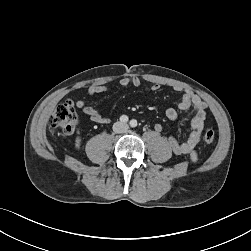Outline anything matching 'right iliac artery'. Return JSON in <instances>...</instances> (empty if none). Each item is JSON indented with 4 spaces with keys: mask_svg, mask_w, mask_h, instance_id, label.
Segmentation results:
<instances>
[{
    "mask_svg": "<svg viewBox=\"0 0 251 251\" xmlns=\"http://www.w3.org/2000/svg\"><path fill=\"white\" fill-rule=\"evenodd\" d=\"M128 117L126 116V115H122L121 117H120V121L121 122H123V123H127L128 122Z\"/></svg>",
    "mask_w": 251,
    "mask_h": 251,
    "instance_id": "right-iliac-artery-1",
    "label": "right iliac artery"
}]
</instances>
